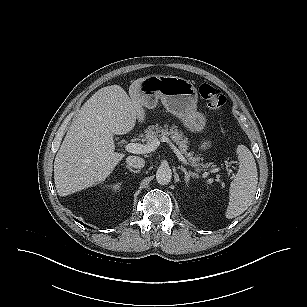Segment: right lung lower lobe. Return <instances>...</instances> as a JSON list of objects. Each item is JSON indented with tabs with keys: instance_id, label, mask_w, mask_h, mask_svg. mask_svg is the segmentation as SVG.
Instances as JSON below:
<instances>
[{
	"instance_id": "1",
	"label": "right lung lower lobe",
	"mask_w": 307,
	"mask_h": 307,
	"mask_svg": "<svg viewBox=\"0 0 307 307\" xmlns=\"http://www.w3.org/2000/svg\"><path fill=\"white\" fill-rule=\"evenodd\" d=\"M82 225L86 226L85 224H83L82 222H80Z\"/></svg>"
}]
</instances>
